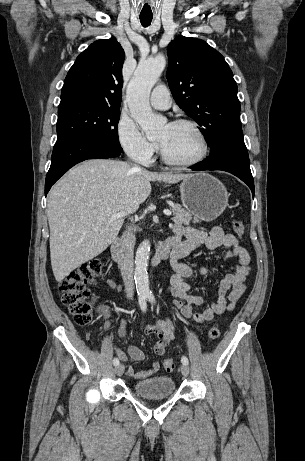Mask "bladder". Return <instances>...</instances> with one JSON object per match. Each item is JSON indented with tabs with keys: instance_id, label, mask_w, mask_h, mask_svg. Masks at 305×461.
<instances>
[{
	"instance_id": "1",
	"label": "bladder",
	"mask_w": 305,
	"mask_h": 461,
	"mask_svg": "<svg viewBox=\"0 0 305 461\" xmlns=\"http://www.w3.org/2000/svg\"><path fill=\"white\" fill-rule=\"evenodd\" d=\"M132 388L137 395L142 397L165 398L175 392V383L170 376L158 375L137 381Z\"/></svg>"
}]
</instances>
